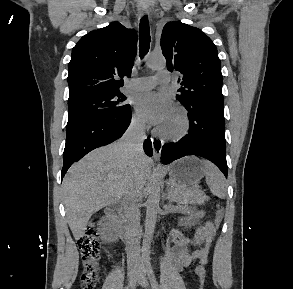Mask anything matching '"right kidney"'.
Returning <instances> with one entry per match:
<instances>
[{"label":"right kidney","instance_id":"ca27d5eb","mask_svg":"<svg viewBox=\"0 0 293 289\" xmlns=\"http://www.w3.org/2000/svg\"><path fill=\"white\" fill-rule=\"evenodd\" d=\"M104 218L101 220L100 224L103 225Z\"/></svg>","mask_w":293,"mask_h":289}]
</instances>
